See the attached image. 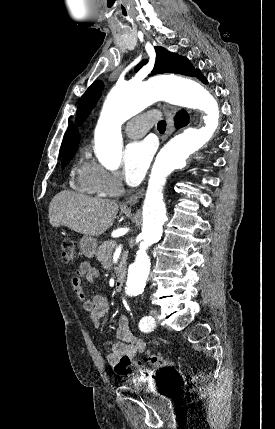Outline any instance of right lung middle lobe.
I'll return each mask as SVG.
<instances>
[{
    "label": "right lung middle lobe",
    "mask_w": 275,
    "mask_h": 429,
    "mask_svg": "<svg viewBox=\"0 0 275 429\" xmlns=\"http://www.w3.org/2000/svg\"><path fill=\"white\" fill-rule=\"evenodd\" d=\"M63 158V160L61 161V166L64 169L65 165H67L69 163V161L74 157L73 155H68V156H61Z\"/></svg>",
    "instance_id": "1"
}]
</instances>
